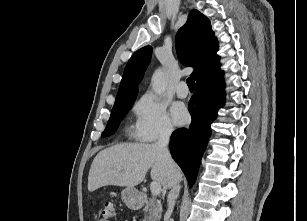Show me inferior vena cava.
Listing matches in <instances>:
<instances>
[{"instance_id": "inferior-vena-cava-1", "label": "inferior vena cava", "mask_w": 307, "mask_h": 221, "mask_svg": "<svg viewBox=\"0 0 307 221\" xmlns=\"http://www.w3.org/2000/svg\"><path fill=\"white\" fill-rule=\"evenodd\" d=\"M172 133V128L168 125H165L159 135V139L156 143L157 148L163 153L167 165L172 168L174 166V161L168 150L169 138ZM180 191V185L178 182H175L171 187V190L167 197L168 209L166 212V218H169L173 212L175 205V199L178 197Z\"/></svg>"}]
</instances>
